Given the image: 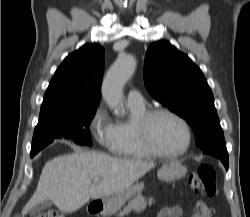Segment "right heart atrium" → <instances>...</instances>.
Listing matches in <instances>:
<instances>
[{
  "instance_id": "d8ad5b80",
  "label": "right heart atrium",
  "mask_w": 250,
  "mask_h": 217,
  "mask_svg": "<svg viewBox=\"0 0 250 217\" xmlns=\"http://www.w3.org/2000/svg\"><path fill=\"white\" fill-rule=\"evenodd\" d=\"M88 128L94 140L101 147L113 150L116 137L115 123L104 105L100 104L96 107L89 120Z\"/></svg>"
}]
</instances>
